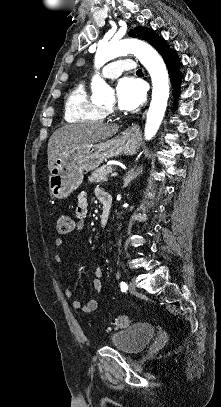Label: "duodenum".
Returning a JSON list of instances; mask_svg holds the SVG:
<instances>
[{"label": "duodenum", "instance_id": "1", "mask_svg": "<svg viewBox=\"0 0 221 407\" xmlns=\"http://www.w3.org/2000/svg\"><path fill=\"white\" fill-rule=\"evenodd\" d=\"M102 213L100 216L99 226L102 230H104L107 226L108 219L110 216L111 204H112V197L109 193H105L102 200Z\"/></svg>", "mask_w": 221, "mask_h": 407}]
</instances>
